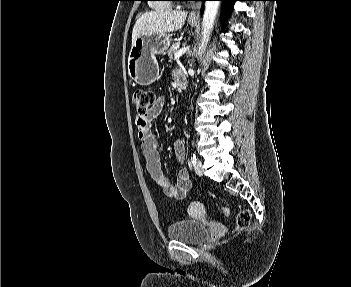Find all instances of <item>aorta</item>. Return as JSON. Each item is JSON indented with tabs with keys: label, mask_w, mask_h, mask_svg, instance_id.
<instances>
[{
	"label": "aorta",
	"mask_w": 351,
	"mask_h": 287,
	"mask_svg": "<svg viewBox=\"0 0 351 287\" xmlns=\"http://www.w3.org/2000/svg\"><path fill=\"white\" fill-rule=\"evenodd\" d=\"M219 1H206L202 19L201 43L199 44L198 54L202 55L209 42L210 34L214 26V21L218 12Z\"/></svg>",
	"instance_id": "aorta-1"
}]
</instances>
